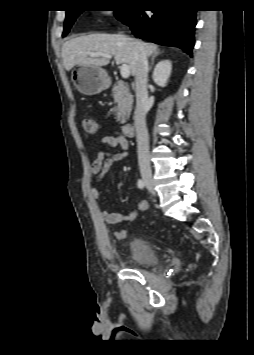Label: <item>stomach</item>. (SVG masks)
<instances>
[{"instance_id": "1", "label": "stomach", "mask_w": 254, "mask_h": 355, "mask_svg": "<svg viewBox=\"0 0 254 355\" xmlns=\"http://www.w3.org/2000/svg\"><path fill=\"white\" fill-rule=\"evenodd\" d=\"M71 81L84 95H95L106 89L110 80L106 71L94 65H79L71 72Z\"/></svg>"}]
</instances>
